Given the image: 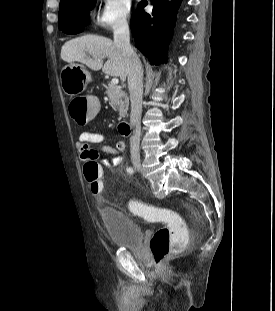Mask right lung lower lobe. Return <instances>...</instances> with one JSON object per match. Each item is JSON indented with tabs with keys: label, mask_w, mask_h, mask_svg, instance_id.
I'll return each mask as SVG.
<instances>
[{
	"label": "right lung lower lobe",
	"mask_w": 275,
	"mask_h": 311,
	"mask_svg": "<svg viewBox=\"0 0 275 311\" xmlns=\"http://www.w3.org/2000/svg\"><path fill=\"white\" fill-rule=\"evenodd\" d=\"M181 0H155L151 14L144 12L146 1L139 3V8L131 19V31L137 48L149 59L151 64L158 65L167 50L173 35V27ZM84 24L72 34L83 31Z\"/></svg>",
	"instance_id": "1"
}]
</instances>
